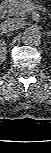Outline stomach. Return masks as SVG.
I'll return each instance as SVG.
<instances>
[{"mask_svg": "<svg viewBox=\"0 0 51 153\" xmlns=\"http://www.w3.org/2000/svg\"><path fill=\"white\" fill-rule=\"evenodd\" d=\"M9 1H11V2H16V1H18V0H9Z\"/></svg>", "mask_w": 51, "mask_h": 153, "instance_id": "0dacf381", "label": "stomach"}]
</instances>
